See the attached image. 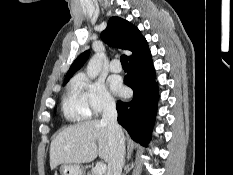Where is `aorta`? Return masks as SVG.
I'll list each match as a JSON object with an SVG mask.
<instances>
[{
    "instance_id": "obj_1",
    "label": "aorta",
    "mask_w": 233,
    "mask_h": 175,
    "mask_svg": "<svg viewBox=\"0 0 233 175\" xmlns=\"http://www.w3.org/2000/svg\"><path fill=\"white\" fill-rule=\"evenodd\" d=\"M103 59H104L103 53H97L90 59L86 69L87 75L90 78L94 79L99 75L102 68Z\"/></svg>"
}]
</instances>
